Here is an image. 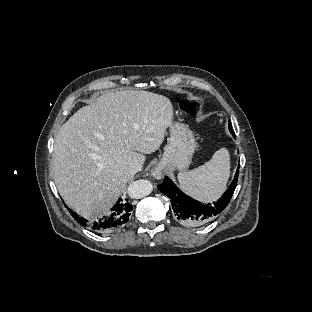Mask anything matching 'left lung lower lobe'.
I'll return each mask as SVG.
<instances>
[{
    "instance_id": "left-lung-lower-lobe-1",
    "label": "left lung lower lobe",
    "mask_w": 312,
    "mask_h": 312,
    "mask_svg": "<svg viewBox=\"0 0 312 312\" xmlns=\"http://www.w3.org/2000/svg\"><path fill=\"white\" fill-rule=\"evenodd\" d=\"M238 174L239 167L227 191L213 204H202L186 196L168 177L164 178L163 183L158 188L171 199V214L175 220L190 228H200L215 219L228 205L237 185Z\"/></svg>"
}]
</instances>
